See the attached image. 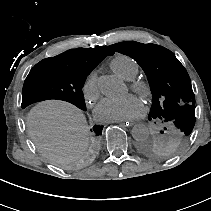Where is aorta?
I'll list each match as a JSON object with an SVG mask.
<instances>
[{
	"label": "aorta",
	"instance_id": "obj_1",
	"mask_svg": "<svg viewBox=\"0 0 211 211\" xmlns=\"http://www.w3.org/2000/svg\"><path fill=\"white\" fill-rule=\"evenodd\" d=\"M98 86L101 93L109 98L120 97L125 91L124 83L115 76H101ZM131 134L136 141H142L149 136V130L145 125L137 124L132 128Z\"/></svg>",
	"mask_w": 211,
	"mask_h": 211
}]
</instances>
